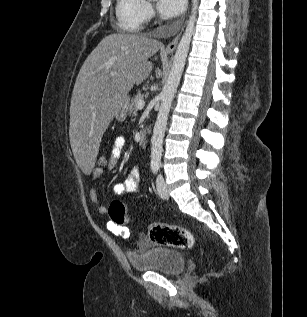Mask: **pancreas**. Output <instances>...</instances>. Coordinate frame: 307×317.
<instances>
[{"label": "pancreas", "instance_id": "pancreas-1", "mask_svg": "<svg viewBox=\"0 0 307 317\" xmlns=\"http://www.w3.org/2000/svg\"><path fill=\"white\" fill-rule=\"evenodd\" d=\"M139 100H143V97H142L140 91L136 92V94H135L134 98L132 99L131 103H129L127 105V111H128L129 115H135L136 114V112H137V102Z\"/></svg>", "mask_w": 307, "mask_h": 317}]
</instances>
